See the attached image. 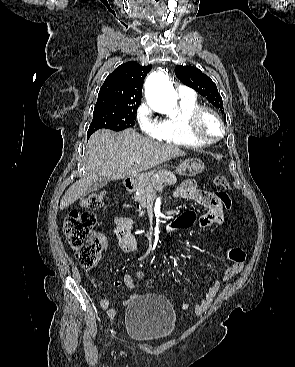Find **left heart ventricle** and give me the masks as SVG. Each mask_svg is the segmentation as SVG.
<instances>
[{"label": "left heart ventricle", "mask_w": 295, "mask_h": 367, "mask_svg": "<svg viewBox=\"0 0 295 367\" xmlns=\"http://www.w3.org/2000/svg\"><path fill=\"white\" fill-rule=\"evenodd\" d=\"M202 131L210 138H214L220 134V126L215 118L211 115H206L202 121Z\"/></svg>", "instance_id": "left-heart-ventricle-1"}]
</instances>
